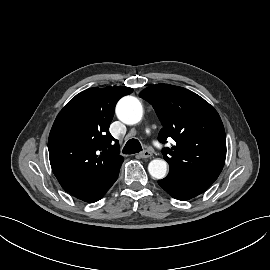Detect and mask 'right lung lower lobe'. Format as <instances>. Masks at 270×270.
Masks as SVG:
<instances>
[{
  "mask_svg": "<svg viewBox=\"0 0 270 270\" xmlns=\"http://www.w3.org/2000/svg\"><path fill=\"white\" fill-rule=\"evenodd\" d=\"M118 168L109 178L104 179L95 184L82 187L79 189H75L70 191L69 193L74 197L83 200L85 202H96L100 200L105 193L109 190V188L115 183L119 175Z\"/></svg>",
  "mask_w": 270,
  "mask_h": 270,
  "instance_id": "obj_1",
  "label": "right lung lower lobe"
}]
</instances>
